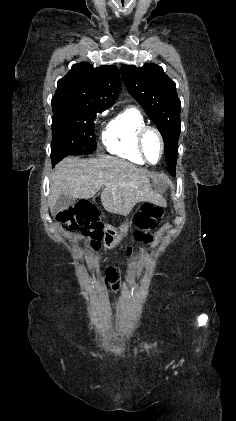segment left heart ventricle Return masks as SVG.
I'll return each mask as SVG.
<instances>
[{"label": "left heart ventricle", "mask_w": 236, "mask_h": 421, "mask_svg": "<svg viewBox=\"0 0 236 421\" xmlns=\"http://www.w3.org/2000/svg\"><path fill=\"white\" fill-rule=\"evenodd\" d=\"M145 150L148 160L151 163L155 164L159 162L162 148L158 137L154 133L147 134L145 138Z\"/></svg>", "instance_id": "b2bd125f"}]
</instances>
